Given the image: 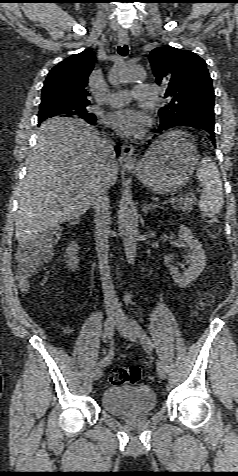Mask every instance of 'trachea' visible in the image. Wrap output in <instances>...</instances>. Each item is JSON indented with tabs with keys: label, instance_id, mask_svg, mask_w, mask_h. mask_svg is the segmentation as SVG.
Segmentation results:
<instances>
[{
	"label": "trachea",
	"instance_id": "1",
	"mask_svg": "<svg viewBox=\"0 0 238 476\" xmlns=\"http://www.w3.org/2000/svg\"><path fill=\"white\" fill-rule=\"evenodd\" d=\"M117 51H118V54H120L121 56H126L129 52V49L127 45H124L123 47L119 46Z\"/></svg>",
	"mask_w": 238,
	"mask_h": 476
}]
</instances>
